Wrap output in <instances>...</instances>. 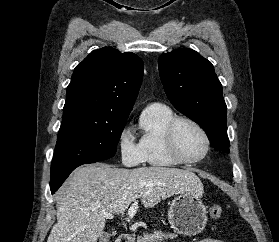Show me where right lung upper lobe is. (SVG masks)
I'll return each instance as SVG.
<instances>
[{"label":"right lung upper lobe","mask_w":279,"mask_h":242,"mask_svg":"<svg viewBox=\"0 0 279 242\" xmlns=\"http://www.w3.org/2000/svg\"><path fill=\"white\" fill-rule=\"evenodd\" d=\"M142 77L143 61L136 54L111 47L95 50L74 69L63 113L128 117Z\"/></svg>","instance_id":"right-lung-upper-lobe-1"}]
</instances>
